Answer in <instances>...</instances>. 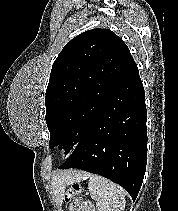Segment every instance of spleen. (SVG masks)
<instances>
[{
	"instance_id": "spleen-1",
	"label": "spleen",
	"mask_w": 178,
	"mask_h": 211,
	"mask_svg": "<svg viewBox=\"0 0 178 211\" xmlns=\"http://www.w3.org/2000/svg\"><path fill=\"white\" fill-rule=\"evenodd\" d=\"M84 176V175H83ZM88 190L91 198L96 200L98 211H123L125 192L117 184L102 176L89 174Z\"/></svg>"
}]
</instances>
